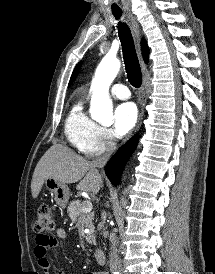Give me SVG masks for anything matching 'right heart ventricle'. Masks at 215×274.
<instances>
[{
	"instance_id": "obj_1",
	"label": "right heart ventricle",
	"mask_w": 215,
	"mask_h": 274,
	"mask_svg": "<svg viewBox=\"0 0 215 274\" xmlns=\"http://www.w3.org/2000/svg\"><path fill=\"white\" fill-rule=\"evenodd\" d=\"M96 127L97 124L85 113L83 102L76 101L65 120L64 131L68 142L83 152Z\"/></svg>"
}]
</instances>
